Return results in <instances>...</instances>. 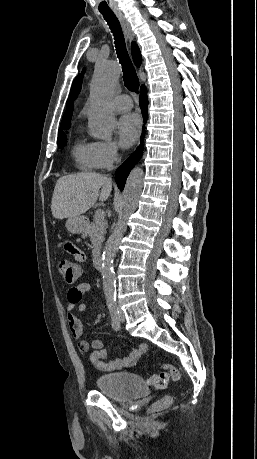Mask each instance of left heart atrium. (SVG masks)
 <instances>
[{"label":"left heart atrium","instance_id":"1","mask_svg":"<svg viewBox=\"0 0 257 459\" xmlns=\"http://www.w3.org/2000/svg\"><path fill=\"white\" fill-rule=\"evenodd\" d=\"M141 120L133 113L123 115L118 121V136L123 146H132L138 139Z\"/></svg>","mask_w":257,"mask_h":459}]
</instances>
